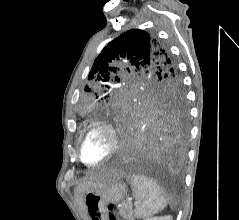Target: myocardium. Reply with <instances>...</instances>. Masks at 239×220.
<instances>
[{
	"mask_svg": "<svg viewBox=\"0 0 239 220\" xmlns=\"http://www.w3.org/2000/svg\"><path fill=\"white\" fill-rule=\"evenodd\" d=\"M96 128L103 129L108 133L109 139H110L109 150H108L107 154L100 160L95 161V162H88L83 158L82 145H83L84 138L87 136V134ZM118 146H119V139H118V135H117L115 128L110 123H108L107 121H104V120L93 121V122L89 123L84 128V130L81 132V134L79 136L78 158H79L80 162L82 164H84L85 166H89V167L98 166V165L108 161L116 153V151L118 150Z\"/></svg>",
	"mask_w": 239,
	"mask_h": 220,
	"instance_id": "obj_1",
	"label": "myocardium"
}]
</instances>
